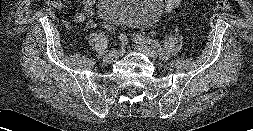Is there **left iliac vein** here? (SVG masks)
Masks as SVG:
<instances>
[{
    "mask_svg": "<svg viewBox=\"0 0 253 131\" xmlns=\"http://www.w3.org/2000/svg\"><path fill=\"white\" fill-rule=\"evenodd\" d=\"M134 42L138 45V50L144 54H146L147 56L156 59L159 57L158 52L153 49L152 47H150L149 45H147L146 43L140 41L139 39H137L136 37H133ZM162 59L163 60H168L169 59V55L168 54H163L162 55Z\"/></svg>",
    "mask_w": 253,
    "mask_h": 131,
    "instance_id": "obj_1",
    "label": "left iliac vein"
}]
</instances>
